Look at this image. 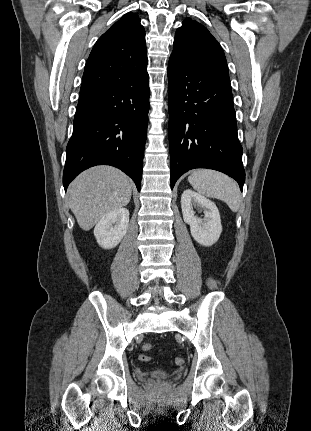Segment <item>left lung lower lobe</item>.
<instances>
[{
	"label": "left lung lower lobe",
	"instance_id": "0a47b994",
	"mask_svg": "<svg viewBox=\"0 0 311 431\" xmlns=\"http://www.w3.org/2000/svg\"><path fill=\"white\" fill-rule=\"evenodd\" d=\"M168 79L171 188L188 170L208 168L234 178L242 191L243 151L229 76L171 55Z\"/></svg>",
	"mask_w": 311,
	"mask_h": 431
}]
</instances>
